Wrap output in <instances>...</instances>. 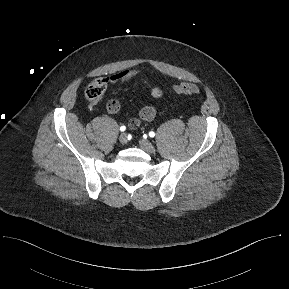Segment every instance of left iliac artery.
Masks as SVG:
<instances>
[{"label": "left iliac artery", "instance_id": "44dca946", "mask_svg": "<svg viewBox=\"0 0 289 289\" xmlns=\"http://www.w3.org/2000/svg\"><path fill=\"white\" fill-rule=\"evenodd\" d=\"M149 136L153 138L155 136V133L153 131H150Z\"/></svg>", "mask_w": 289, "mask_h": 289}]
</instances>
